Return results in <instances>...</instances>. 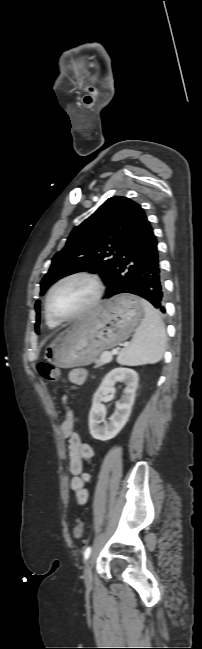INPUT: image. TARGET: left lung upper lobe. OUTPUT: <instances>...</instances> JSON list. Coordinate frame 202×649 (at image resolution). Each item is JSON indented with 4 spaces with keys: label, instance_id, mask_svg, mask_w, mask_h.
I'll list each match as a JSON object with an SVG mask.
<instances>
[{
    "label": "left lung upper lobe",
    "instance_id": "left-lung-upper-lobe-1",
    "mask_svg": "<svg viewBox=\"0 0 202 649\" xmlns=\"http://www.w3.org/2000/svg\"><path fill=\"white\" fill-rule=\"evenodd\" d=\"M145 216L139 204L129 198H109L70 234L65 247L55 254L48 273L41 281L43 295L58 279L88 269L99 270L112 280L123 243ZM35 331L39 332L40 301H36Z\"/></svg>",
    "mask_w": 202,
    "mask_h": 649
}]
</instances>
